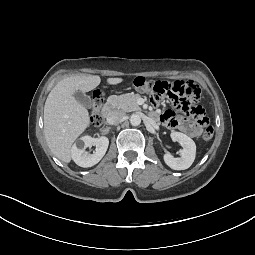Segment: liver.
I'll return each mask as SVG.
<instances>
[{
  "instance_id": "6515ba94",
  "label": "liver",
  "mask_w": 255,
  "mask_h": 255,
  "mask_svg": "<svg viewBox=\"0 0 255 255\" xmlns=\"http://www.w3.org/2000/svg\"><path fill=\"white\" fill-rule=\"evenodd\" d=\"M122 78H108L119 84ZM101 82L98 75H73L59 81L49 93L44 106V135L51 152L69 163L71 146L90 124L88 110L74 97L77 91L89 92Z\"/></svg>"
}]
</instances>
